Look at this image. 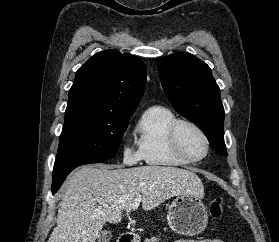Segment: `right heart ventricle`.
I'll use <instances>...</instances> for the list:
<instances>
[{
  "label": "right heart ventricle",
  "mask_w": 279,
  "mask_h": 242,
  "mask_svg": "<svg viewBox=\"0 0 279 242\" xmlns=\"http://www.w3.org/2000/svg\"><path fill=\"white\" fill-rule=\"evenodd\" d=\"M176 120L170 109L158 105L142 114L137 125L138 150L148 165L178 167L187 164L174 154L169 144L168 132Z\"/></svg>",
  "instance_id": "obj_1"
}]
</instances>
